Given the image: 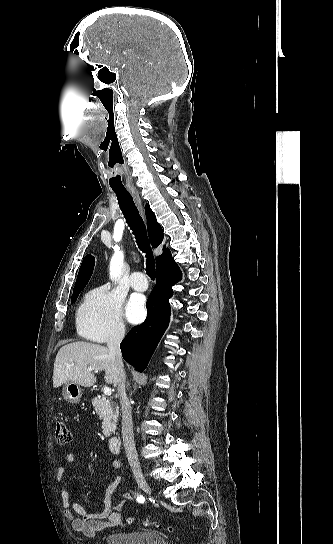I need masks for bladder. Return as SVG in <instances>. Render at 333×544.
<instances>
[{"label": "bladder", "mask_w": 333, "mask_h": 544, "mask_svg": "<svg viewBox=\"0 0 333 544\" xmlns=\"http://www.w3.org/2000/svg\"><path fill=\"white\" fill-rule=\"evenodd\" d=\"M104 544H167L162 535L153 531L122 530L108 533Z\"/></svg>", "instance_id": "1"}]
</instances>
